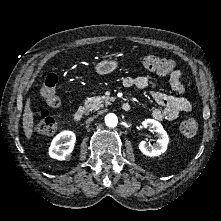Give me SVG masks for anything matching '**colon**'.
Wrapping results in <instances>:
<instances>
[{"label":"colon","instance_id":"colon-1","mask_svg":"<svg viewBox=\"0 0 221 221\" xmlns=\"http://www.w3.org/2000/svg\"><path fill=\"white\" fill-rule=\"evenodd\" d=\"M143 66L160 75H172L175 65L168 57L150 55L143 60ZM58 77L56 74H49L42 84L40 94L52 108L60 106V98L57 94ZM59 116H54L47 111L41 112L36 122V131L41 135H52L58 128ZM198 121L194 117H187L180 125V131L186 138L193 137L198 131Z\"/></svg>","mask_w":221,"mask_h":221}]
</instances>
